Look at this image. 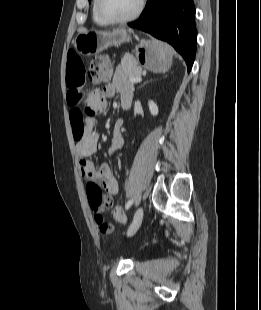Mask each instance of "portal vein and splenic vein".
I'll return each instance as SVG.
<instances>
[{"label": "portal vein and splenic vein", "instance_id": "1", "mask_svg": "<svg viewBox=\"0 0 261 310\" xmlns=\"http://www.w3.org/2000/svg\"><path fill=\"white\" fill-rule=\"evenodd\" d=\"M140 81H142V78H141V77L130 78V82L137 83V82H140Z\"/></svg>", "mask_w": 261, "mask_h": 310}]
</instances>
